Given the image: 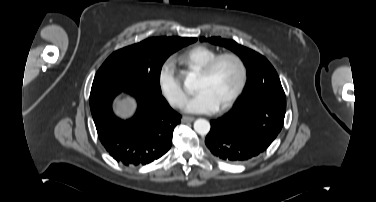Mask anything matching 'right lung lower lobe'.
Masks as SVG:
<instances>
[{
    "label": "right lung lower lobe",
    "instance_id": "right-lung-lower-lobe-1",
    "mask_svg": "<svg viewBox=\"0 0 376 202\" xmlns=\"http://www.w3.org/2000/svg\"><path fill=\"white\" fill-rule=\"evenodd\" d=\"M122 91L138 102L136 114L127 121L117 118L111 108L112 100ZM90 109L101 143L116 161L126 166L145 165L164 155L181 119L161 93L142 85L92 88Z\"/></svg>",
    "mask_w": 376,
    "mask_h": 202
}]
</instances>
